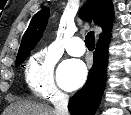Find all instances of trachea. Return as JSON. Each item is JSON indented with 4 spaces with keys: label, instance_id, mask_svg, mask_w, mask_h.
Listing matches in <instances>:
<instances>
[{
    "label": "trachea",
    "instance_id": "obj_1",
    "mask_svg": "<svg viewBox=\"0 0 131 115\" xmlns=\"http://www.w3.org/2000/svg\"><path fill=\"white\" fill-rule=\"evenodd\" d=\"M85 44L88 49L92 50L95 47V36L94 32L90 31L85 37Z\"/></svg>",
    "mask_w": 131,
    "mask_h": 115
}]
</instances>
